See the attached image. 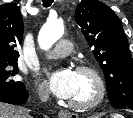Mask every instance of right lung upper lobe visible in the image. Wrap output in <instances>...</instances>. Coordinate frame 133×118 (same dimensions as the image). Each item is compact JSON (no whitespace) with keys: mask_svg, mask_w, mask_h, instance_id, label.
Here are the masks:
<instances>
[{"mask_svg":"<svg viewBox=\"0 0 133 118\" xmlns=\"http://www.w3.org/2000/svg\"><path fill=\"white\" fill-rule=\"evenodd\" d=\"M23 20L19 7L12 3L0 5V62H17V45L23 36Z\"/></svg>","mask_w":133,"mask_h":118,"instance_id":"right-lung-upper-lobe-1","label":"right lung upper lobe"}]
</instances>
